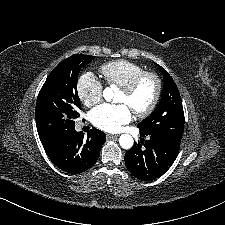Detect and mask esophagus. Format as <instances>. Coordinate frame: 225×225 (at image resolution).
Wrapping results in <instances>:
<instances>
[{
  "label": "esophagus",
  "mask_w": 225,
  "mask_h": 225,
  "mask_svg": "<svg viewBox=\"0 0 225 225\" xmlns=\"http://www.w3.org/2000/svg\"><path fill=\"white\" fill-rule=\"evenodd\" d=\"M106 137H107V139H110V138H118V135L107 133L106 134Z\"/></svg>",
  "instance_id": "esophagus-1"
}]
</instances>
